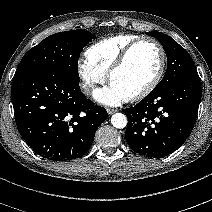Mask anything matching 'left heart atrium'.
Here are the masks:
<instances>
[{
    "mask_svg": "<svg viewBox=\"0 0 212 212\" xmlns=\"http://www.w3.org/2000/svg\"><path fill=\"white\" fill-rule=\"evenodd\" d=\"M96 100L107 105H118L129 99V96L118 90L115 86H110L97 90L94 94Z\"/></svg>",
    "mask_w": 212,
    "mask_h": 212,
    "instance_id": "39dd6f15",
    "label": "left heart atrium"
}]
</instances>
